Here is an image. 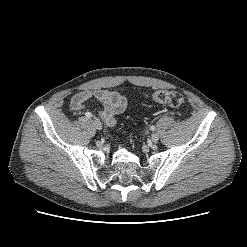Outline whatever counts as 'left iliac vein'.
Masks as SVG:
<instances>
[{
	"label": "left iliac vein",
	"mask_w": 247,
	"mask_h": 247,
	"mask_svg": "<svg viewBox=\"0 0 247 247\" xmlns=\"http://www.w3.org/2000/svg\"><path fill=\"white\" fill-rule=\"evenodd\" d=\"M151 140H152V142H154V143L158 142V140H159V135H158L157 133H153V134L151 135Z\"/></svg>",
	"instance_id": "4c4485c4"
}]
</instances>
